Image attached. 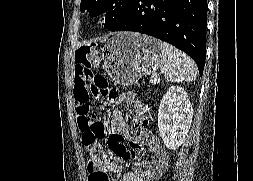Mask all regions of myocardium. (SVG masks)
Returning a JSON list of instances; mask_svg holds the SVG:
<instances>
[{
    "instance_id": "obj_1",
    "label": "myocardium",
    "mask_w": 253,
    "mask_h": 181,
    "mask_svg": "<svg viewBox=\"0 0 253 181\" xmlns=\"http://www.w3.org/2000/svg\"><path fill=\"white\" fill-rule=\"evenodd\" d=\"M102 14H103V9L98 8V9L94 12V19H95L96 21H98V20L102 17Z\"/></svg>"
}]
</instances>
